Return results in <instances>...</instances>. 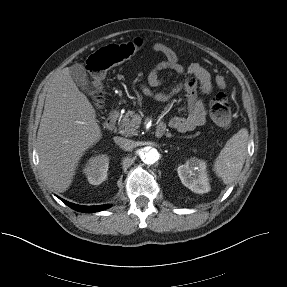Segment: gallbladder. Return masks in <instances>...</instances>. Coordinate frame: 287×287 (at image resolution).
<instances>
[{
	"label": "gallbladder",
	"mask_w": 287,
	"mask_h": 287,
	"mask_svg": "<svg viewBox=\"0 0 287 287\" xmlns=\"http://www.w3.org/2000/svg\"><path fill=\"white\" fill-rule=\"evenodd\" d=\"M70 74L76 84L81 88L82 91L91 95L92 91L89 86L88 75L85 67L82 64H74L70 68Z\"/></svg>",
	"instance_id": "gallbladder-1"
}]
</instances>
